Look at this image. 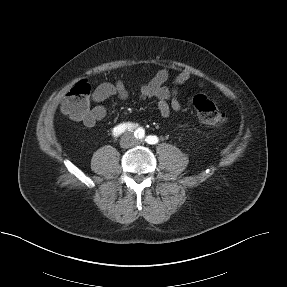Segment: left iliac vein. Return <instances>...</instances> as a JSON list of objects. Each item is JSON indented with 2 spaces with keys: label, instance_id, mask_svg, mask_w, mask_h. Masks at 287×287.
I'll use <instances>...</instances> for the list:
<instances>
[{
  "label": "left iliac vein",
  "instance_id": "1",
  "mask_svg": "<svg viewBox=\"0 0 287 287\" xmlns=\"http://www.w3.org/2000/svg\"><path fill=\"white\" fill-rule=\"evenodd\" d=\"M138 143H139V141H138V140H135V141H134V144H138Z\"/></svg>",
  "mask_w": 287,
  "mask_h": 287
}]
</instances>
